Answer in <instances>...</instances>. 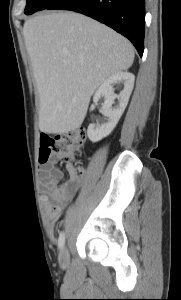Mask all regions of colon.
I'll return each mask as SVG.
<instances>
[{"instance_id":"colon-1","label":"colon","mask_w":181,"mask_h":300,"mask_svg":"<svg viewBox=\"0 0 181 300\" xmlns=\"http://www.w3.org/2000/svg\"><path fill=\"white\" fill-rule=\"evenodd\" d=\"M40 140V162H45L50 154H55L59 160L69 163L68 172L73 178H81L83 176V167L70 164V162L80 153L85 143L86 133L83 129L55 137L43 135Z\"/></svg>"}]
</instances>
